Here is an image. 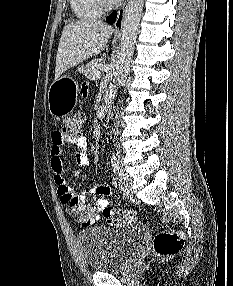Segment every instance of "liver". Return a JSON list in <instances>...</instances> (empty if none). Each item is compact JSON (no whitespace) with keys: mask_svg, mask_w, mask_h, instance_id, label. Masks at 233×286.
Returning <instances> with one entry per match:
<instances>
[{"mask_svg":"<svg viewBox=\"0 0 233 286\" xmlns=\"http://www.w3.org/2000/svg\"><path fill=\"white\" fill-rule=\"evenodd\" d=\"M114 29L102 21L82 20L67 24L62 32L55 66V79L89 57L101 53Z\"/></svg>","mask_w":233,"mask_h":286,"instance_id":"6515ba94","label":"liver"}]
</instances>
